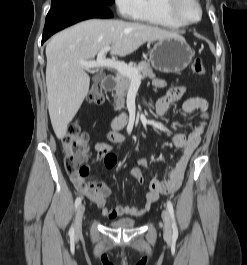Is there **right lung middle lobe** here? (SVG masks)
I'll return each instance as SVG.
<instances>
[{
	"label": "right lung middle lobe",
	"mask_w": 247,
	"mask_h": 265,
	"mask_svg": "<svg viewBox=\"0 0 247 265\" xmlns=\"http://www.w3.org/2000/svg\"><path fill=\"white\" fill-rule=\"evenodd\" d=\"M115 0H52V7H59L63 5L71 4H93V5H103L110 6Z\"/></svg>",
	"instance_id": "obj_1"
}]
</instances>
